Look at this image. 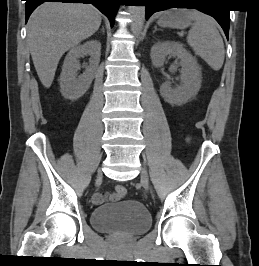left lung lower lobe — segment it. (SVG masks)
Segmentation results:
<instances>
[{
    "mask_svg": "<svg viewBox=\"0 0 259 266\" xmlns=\"http://www.w3.org/2000/svg\"><path fill=\"white\" fill-rule=\"evenodd\" d=\"M146 6V19L154 12L162 11L166 8H180L181 5L199 6L198 10L213 16L223 28L226 37L228 38L230 15L228 9L214 8L209 4L217 2L216 0H140Z\"/></svg>",
    "mask_w": 259,
    "mask_h": 266,
    "instance_id": "left-lung-lower-lobe-1",
    "label": "left lung lower lobe"
}]
</instances>
